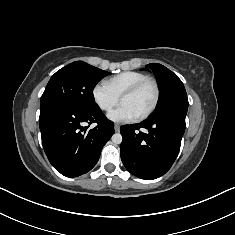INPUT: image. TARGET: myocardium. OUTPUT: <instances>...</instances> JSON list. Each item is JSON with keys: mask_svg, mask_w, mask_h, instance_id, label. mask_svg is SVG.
Wrapping results in <instances>:
<instances>
[{"mask_svg": "<svg viewBox=\"0 0 235 235\" xmlns=\"http://www.w3.org/2000/svg\"><path fill=\"white\" fill-rule=\"evenodd\" d=\"M146 85H151L153 87L154 99H153V102L150 105V107L144 113H142L141 115L138 116V118L140 120H143V119L147 118L148 116H150L158 106V103L160 100V88H159L157 81L152 78H146V79L134 84L133 86H131L127 90H125L122 93V95L120 96V101H121L124 97L136 94Z\"/></svg>", "mask_w": 235, "mask_h": 235, "instance_id": "obj_1", "label": "myocardium"}]
</instances>
